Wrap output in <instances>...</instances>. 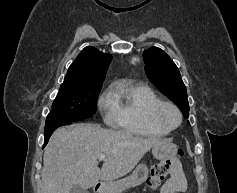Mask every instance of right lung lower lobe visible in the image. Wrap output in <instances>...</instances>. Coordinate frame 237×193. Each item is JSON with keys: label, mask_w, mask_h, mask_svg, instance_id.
<instances>
[{"label": "right lung lower lobe", "mask_w": 237, "mask_h": 193, "mask_svg": "<svg viewBox=\"0 0 237 193\" xmlns=\"http://www.w3.org/2000/svg\"><path fill=\"white\" fill-rule=\"evenodd\" d=\"M71 123L72 121L65 118L56 117V116H47L46 124H45V132H44V146L47 144L52 133L58 127L63 126V125H69Z\"/></svg>", "instance_id": "1"}]
</instances>
